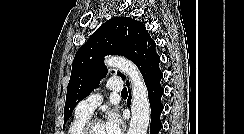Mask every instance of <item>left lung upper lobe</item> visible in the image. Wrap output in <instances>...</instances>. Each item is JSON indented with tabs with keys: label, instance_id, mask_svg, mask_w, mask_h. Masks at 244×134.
I'll list each match as a JSON object with an SVG mask.
<instances>
[{
	"label": "left lung upper lobe",
	"instance_id": "left-lung-upper-lobe-1",
	"mask_svg": "<svg viewBox=\"0 0 244 134\" xmlns=\"http://www.w3.org/2000/svg\"><path fill=\"white\" fill-rule=\"evenodd\" d=\"M155 46L145 25L132 18L114 17L102 24L74 57L67 87L64 121L107 74L103 62L106 55H122L133 61L145 83L152 75L162 73L159 69L160 56ZM118 75L125 79L123 74ZM126 83L129 86V81Z\"/></svg>",
	"mask_w": 244,
	"mask_h": 134
}]
</instances>
